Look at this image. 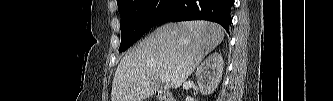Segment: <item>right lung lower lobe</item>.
I'll list each match as a JSON object with an SVG mask.
<instances>
[{
	"mask_svg": "<svg viewBox=\"0 0 333 101\" xmlns=\"http://www.w3.org/2000/svg\"><path fill=\"white\" fill-rule=\"evenodd\" d=\"M234 0H170L161 22L208 20L229 31L230 10Z\"/></svg>",
	"mask_w": 333,
	"mask_h": 101,
	"instance_id": "right-lung-lower-lobe-1",
	"label": "right lung lower lobe"
}]
</instances>
